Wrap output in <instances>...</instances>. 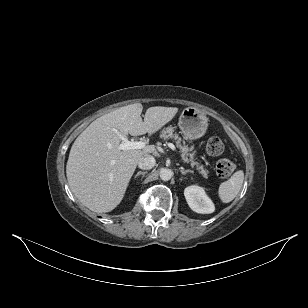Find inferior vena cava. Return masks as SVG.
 I'll return each mask as SVG.
<instances>
[{"label":"inferior vena cava","mask_w":308,"mask_h":308,"mask_svg":"<svg viewBox=\"0 0 308 308\" xmlns=\"http://www.w3.org/2000/svg\"><path fill=\"white\" fill-rule=\"evenodd\" d=\"M155 158L151 155H144L139 159L138 167L143 170H150L155 166Z\"/></svg>","instance_id":"inferior-vena-cava-1"}]
</instances>
